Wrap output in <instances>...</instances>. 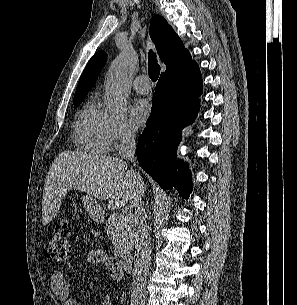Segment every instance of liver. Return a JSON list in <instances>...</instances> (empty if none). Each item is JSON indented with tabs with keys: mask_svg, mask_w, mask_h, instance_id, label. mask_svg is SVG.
<instances>
[{
	"mask_svg": "<svg viewBox=\"0 0 297 305\" xmlns=\"http://www.w3.org/2000/svg\"><path fill=\"white\" fill-rule=\"evenodd\" d=\"M140 176V175H139ZM86 192L99 200H108V208H121L143 195L145 184L120 158L84 152H61L46 176L42 223L47 225L57 215L69 190Z\"/></svg>",
	"mask_w": 297,
	"mask_h": 305,
	"instance_id": "liver-1",
	"label": "liver"
}]
</instances>
